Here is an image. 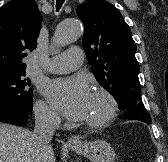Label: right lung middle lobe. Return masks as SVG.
Here are the masks:
<instances>
[{
  "label": "right lung middle lobe",
  "instance_id": "1",
  "mask_svg": "<svg viewBox=\"0 0 168 162\" xmlns=\"http://www.w3.org/2000/svg\"><path fill=\"white\" fill-rule=\"evenodd\" d=\"M31 82L25 72L0 75V106L32 110Z\"/></svg>",
  "mask_w": 168,
  "mask_h": 162
}]
</instances>
